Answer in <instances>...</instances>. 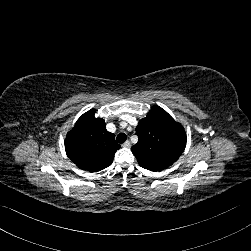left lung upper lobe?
Returning <instances> with one entry per match:
<instances>
[{"instance_id":"1","label":"left lung upper lobe","mask_w":251,"mask_h":251,"mask_svg":"<svg viewBox=\"0 0 251 251\" xmlns=\"http://www.w3.org/2000/svg\"><path fill=\"white\" fill-rule=\"evenodd\" d=\"M136 134L138 142L131 150L139 165L152 170L170 167L186 146V133L164 109L153 106L140 120Z\"/></svg>"}]
</instances>
